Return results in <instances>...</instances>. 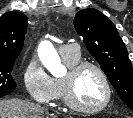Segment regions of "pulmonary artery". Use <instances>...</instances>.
Returning a JSON list of instances; mask_svg holds the SVG:
<instances>
[{"instance_id": "obj_1", "label": "pulmonary artery", "mask_w": 133, "mask_h": 118, "mask_svg": "<svg viewBox=\"0 0 133 118\" xmlns=\"http://www.w3.org/2000/svg\"><path fill=\"white\" fill-rule=\"evenodd\" d=\"M62 56H74L79 54V47L75 44L63 45L60 47Z\"/></svg>"}]
</instances>
